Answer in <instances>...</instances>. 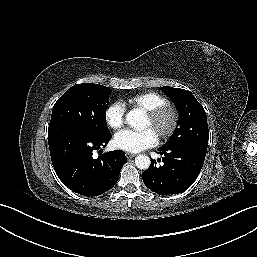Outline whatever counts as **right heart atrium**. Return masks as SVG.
<instances>
[{
    "label": "right heart atrium",
    "mask_w": 257,
    "mask_h": 257,
    "mask_svg": "<svg viewBox=\"0 0 257 257\" xmlns=\"http://www.w3.org/2000/svg\"><path fill=\"white\" fill-rule=\"evenodd\" d=\"M126 118L125 105L120 101L111 103L104 112V119L107 126L113 131L120 130Z\"/></svg>",
    "instance_id": "right-heart-atrium-1"
}]
</instances>
